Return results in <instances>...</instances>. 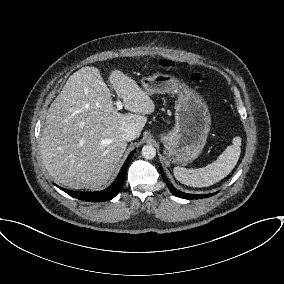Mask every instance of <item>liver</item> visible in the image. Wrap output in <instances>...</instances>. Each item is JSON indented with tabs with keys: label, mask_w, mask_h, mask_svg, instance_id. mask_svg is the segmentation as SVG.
<instances>
[{
	"label": "liver",
	"mask_w": 284,
	"mask_h": 284,
	"mask_svg": "<svg viewBox=\"0 0 284 284\" xmlns=\"http://www.w3.org/2000/svg\"><path fill=\"white\" fill-rule=\"evenodd\" d=\"M110 83L126 110L118 112L112 93L96 67L73 73L50 105L40 138L43 163L58 183L73 189L97 190L108 184L121 166L127 147L123 130L137 137L155 110L149 94L120 70Z\"/></svg>",
	"instance_id": "liver-1"
}]
</instances>
